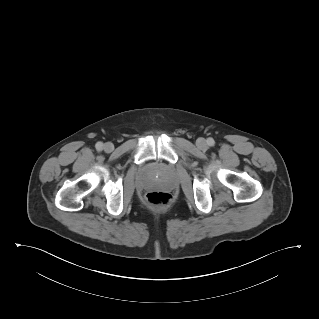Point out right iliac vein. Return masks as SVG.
Instances as JSON below:
<instances>
[{
  "mask_svg": "<svg viewBox=\"0 0 319 319\" xmlns=\"http://www.w3.org/2000/svg\"><path fill=\"white\" fill-rule=\"evenodd\" d=\"M114 149V145L111 142H107L104 144V150L106 152H111Z\"/></svg>",
  "mask_w": 319,
  "mask_h": 319,
  "instance_id": "1",
  "label": "right iliac vein"
}]
</instances>
